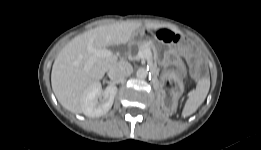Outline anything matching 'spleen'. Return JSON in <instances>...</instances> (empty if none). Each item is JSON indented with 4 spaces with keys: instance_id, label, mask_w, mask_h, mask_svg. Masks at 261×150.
<instances>
[{
    "instance_id": "obj_1",
    "label": "spleen",
    "mask_w": 261,
    "mask_h": 150,
    "mask_svg": "<svg viewBox=\"0 0 261 150\" xmlns=\"http://www.w3.org/2000/svg\"><path fill=\"white\" fill-rule=\"evenodd\" d=\"M210 88V79L202 78L198 81L195 90L191 91L184 105L182 116L188 117L196 112L198 107L204 102Z\"/></svg>"
}]
</instances>
